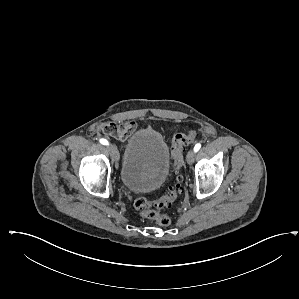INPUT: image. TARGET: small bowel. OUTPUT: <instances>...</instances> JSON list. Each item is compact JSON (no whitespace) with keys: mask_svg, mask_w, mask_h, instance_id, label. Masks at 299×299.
Instances as JSON below:
<instances>
[{"mask_svg":"<svg viewBox=\"0 0 299 299\" xmlns=\"http://www.w3.org/2000/svg\"><path fill=\"white\" fill-rule=\"evenodd\" d=\"M137 129V124L134 121H126L119 124L109 123L105 127V132L110 136L125 141L128 139Z\"/></svg>","mask_w":299,"mask_h":299,"instance_id":"c3829d8e","label":"small bowel"}]
</instances>
